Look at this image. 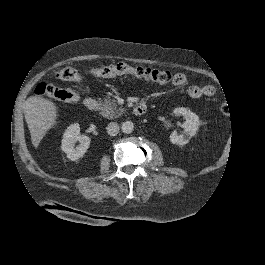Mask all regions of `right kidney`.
Listing matches in <instances>:
<instances>
[{
	"mask_svg": "<svg viewBox=\"0 0 265 265\" xmlns=\"http://www.w3.org/2000/svg\"><path fill=\"white\" fill-rule=\"evenodd\" d=\"M79 141V145L74 147ZM90 138L80 134V126L78 123L70 125L63 134L61 148L67 154V157L75 161L85 154L90 145Z\"/></svg>",
	"mask_w": 265,
	"mask_h": 265,
	"instance_id": "ca27d5eb",
	"label": "right kidney"
}]
</instances>
